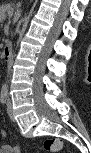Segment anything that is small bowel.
Masks as SVG:
<instances>
[{
	"mask_svg": "<svg viewBox=\"0 0 91 153\" xmlns=\"http://www.w3.org/2000/svg\"><path fill=\"white\" fill-rule=\"evenodd\" d=\"M4 136H5V133H1V138H3ZM1 151L3 153H16L17 149H16V147H12L10 145H2Z\"/></svg>",
	"mask_w": 91,
	"mask_h": 153,
	"instance_id": "obj_1",
	"label": "small bowel"
}]
</instances>
